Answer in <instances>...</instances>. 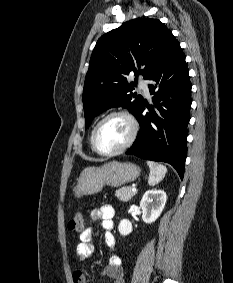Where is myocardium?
Returning a JSON list of instances; mask_svg holds the SVG:
<instances>
[{
	"label": "myocardium",
	"mask_w": 233,
	"mask_h": 283,
	"mask_svg": "<svg viewBox=\"0 0 233 283\" xmlns=\"http://www.w3.org/2000/svg\"><path fill=\"white\" fill-rule=\"evenodd\" d=\"M114 116H122L126 118L130 124L131 132H130L129 138L126 141V143L122 145L120 148L114 151L104 152L100 150L97 146V141H96L97 134L99 132V129L103 125V123ZM138 132H139V123L133 113L125 109L114 110L106 114L104 117H102L95 125L93 132H92L91 145H92L93 150L99 155L108 156V157L119 155L125 152L127 149H129L133 145V143L135 142L137 138Z\"/></svg>",
	"instance_id": "f54148a6"
}]
</instances>
